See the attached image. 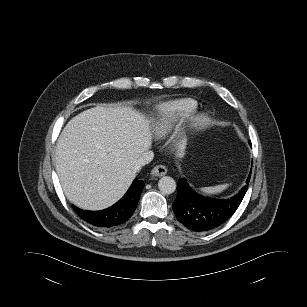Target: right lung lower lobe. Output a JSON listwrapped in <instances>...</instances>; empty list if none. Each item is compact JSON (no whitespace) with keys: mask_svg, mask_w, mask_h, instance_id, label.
<instances>
[{"mask_svg":"<svg viewBox=\"0 0 307 307\" xmlns=\"http://www.w3.org/2000/svg\"><path fill=\"white\" fill-rule=\"evenodd\" d=\"M143 188V181L135 179L127 193L116 204L105 210L84 211L75 206L73 208L87 223L100 228H110L129 219L136 209Z\"/></svg>","mask_w":307,"mask_h":307,"instance_id":"1","label":"right lung lower lobe"}]
</instances>
